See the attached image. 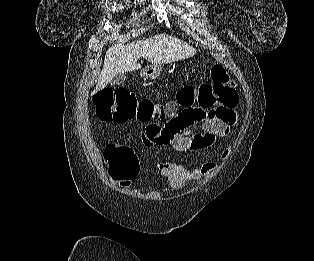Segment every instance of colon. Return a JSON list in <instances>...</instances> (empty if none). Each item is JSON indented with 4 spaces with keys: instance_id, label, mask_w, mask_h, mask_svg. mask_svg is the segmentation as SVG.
<instances>
[{
    "instance_id": "5ec220e1",
    "label": "colon",
    "mask_w": 314,
    "mask_h": 261,
    "mask_svg": "<svg viewBox=\"0 0 314 261\" xmlns=\"http://www.w3.org/2000/svg\"><path fill=\"white\" fill-rule=\"evenodd\" d=\"M236 99L234 84L227 71L219 64L211 69V81L198 87L183 86L169 107L155 104L147 98H141L128 88H103L94 97L95 113L99 120L126 123L138 121L147 123L148 129L164 120H171L179 108L211 109L225 105ZM104 155L113 179L122 185L130 184L139 171V159L134 150L123 143L109 144Z\"/></svg>"
}]
</instances>
